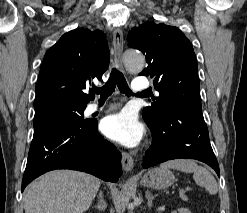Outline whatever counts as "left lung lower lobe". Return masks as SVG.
Returning a JSON list of instances; mask_svg holds the SVG:
<instances>
[{"label":"left lung lower lobe","mask_w":247,"mask_h":213,"mask_svg":"<svg viewBox=\"0 0 247 213\" xmlns=\"http://www.w3.org/2000/svg\"><path fill=\"white\" fill-rule=\"evenodd\" d=\"M149 128L153 142L144 156L143 168L167 160L188 158L208 164L220 175L202 111L189 109L182 102L173 101L158 124Z\"/></svg>","instance_id":"0a47b994"}]
</instances>
